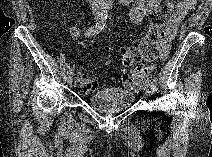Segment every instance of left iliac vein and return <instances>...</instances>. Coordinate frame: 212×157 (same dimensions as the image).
<instances>
[{
	"label": "left iliac vein",
	"mask_w": 212,
	"mask_h": 157,
	"mask_svg": "<svg viewBox=\"0 0 212 157\" xmlns=\"http://www.w3.org/2000/svg\"><path fill=\"white\" fill-rule=\"evenodd\" d=\"M143 90H144V93L146 94V95H150L151 94V89L149 88V86H144V88H143Z\"/></svg>",
	"instance_id": "obj_1"
}]
</instances>
